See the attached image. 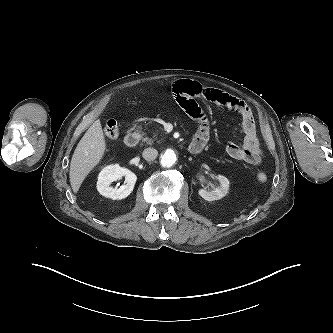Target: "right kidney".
<instances>
[{
  "label": "right kidney",
  "instance_id": "obj_1",
  "mask_svg": "<svg viewBox=\"0 0 333 333\" xmlns=\"http://www.w3.org/2000/svg\"><path fill=\"white\" fill-rule=\"evenodd\" d=\"M125 177V184L118 187H112L114 181ZM137 180V176L127 168L120 167L118 164H112L105 167L98 176L97 190L107 198L121 200L126 198L132 191Z\"/></svg>",
  "mask_w": 333,
  "mask_h": 333
}]
</instances>
